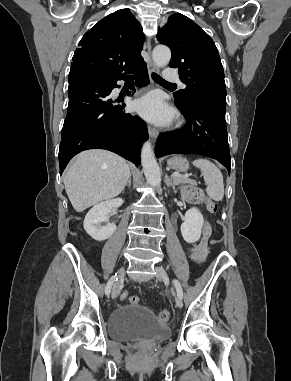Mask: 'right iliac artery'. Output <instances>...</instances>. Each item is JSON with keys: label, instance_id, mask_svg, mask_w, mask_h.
<instances>
[{"label": "right iliac artery", "instance_id": "obj_1", "mask_svg": "<svg viewBox=\"0 0 291 381\" xmlns=\"http://www.w3.org/2000/svg\"><path fill=\"white\" fill-rule=\"evenodd\" d=\"M117 280H118V276H117V273H115V275H113V276L109 279V281H108V283H107V286H106V289H105V292H106L107 295L110 294L111 287H112V285H113Z\"/></svg>", "mask_w": 291, "mask_h": 381}]
</instances>
